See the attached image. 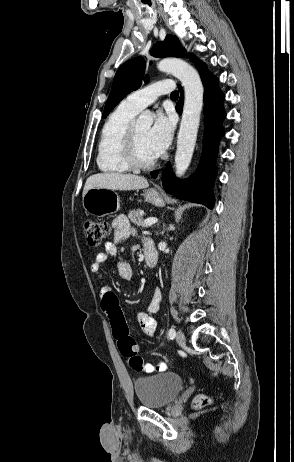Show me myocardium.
<instances>
[{
	"instance_id": "1",
	"label": "myocardium",
	"mask_w": 294,
	"mask_h": 462,
	"mask_svg": "<svg viewBox=\"0 0 294 462\" xmlns=\"http://www.w3.org/2000/svg\"><path fill=\"white\" fill-rule=\"evenodd\" d=\"M134 124H130L125 132L123 145H122V156L126 165L133 170H146L153 167L159 156L149 160L142 161L138 156L136 136L134 130Z\"/></svg>"
}]
</instances>
